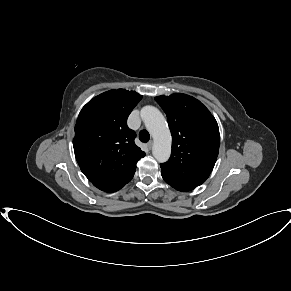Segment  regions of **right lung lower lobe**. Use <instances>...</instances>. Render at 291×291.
<instances>
[{
    "label": "right lung lower lobe",
    "mask_w": 291,
    "mask_h": 291,
    "mask_svg": "<svg viewBox=\"0 0 291 291\" xmlns=\"http://www.w3.org/2000/svg\"><path fill=\"white\" fill-rule=\"evenodd\" d=\"M136 170V169H135ZM135 170L121 179L102 180L92 182L95 187L105 192H115L126 185L133 177Z\"/></svg>",
    "instance_id": "obj_1"
}]
</instances>
